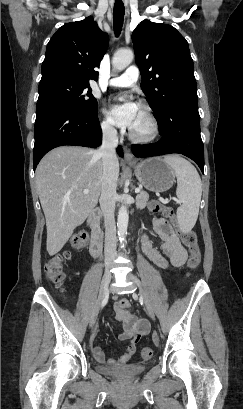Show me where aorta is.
<instances>
[{"instance_id":"aorta-1","label":"aorta","mask_w":243,"mask_h":409,"mask_svg":"<svg viewBox=\"0 0 243 409\" xmlns=\"http://www.w3.org/2000/svg\"><path fill=\"white\" fill-rule=\"evenodd\" d=\"M134 58V53L131 49H122L117 51L114 54L112 65L115 70L121 71L125 69ZM128 220H129V213L126 205H122L119 208L118 212V219H117V227H118V236L119 239L122 241L127 233L128 227Z\"/></svg>"}]
</instances>
